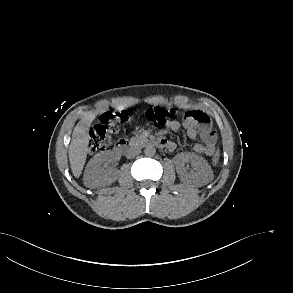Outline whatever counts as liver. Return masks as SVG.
<instances>
[{"label": "liver", "mask_w": 293, "mask_h": 293, "mask_svg": "<svg viewBox=\"0 0 293 293\" xmlns=\"http://www.w3.org/2000/svg\"><path fill=\"white\" fill-rule=\"evenodd\" d=\"M92 121L93 117L81 119L72 133V139L69 146V162L72 173L76 178L80 177L86 162L90 140L88 130Z\"/></svg>", "instance_id": "1"}]
</instances>
